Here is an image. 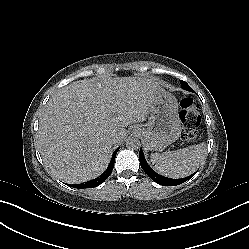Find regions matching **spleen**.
Returning a JSON list of instances; mask_svg holds the SVG:
<instances>
[{"mask_svg":"<svg viewBox=\"0 0 249 249\" xmlns=\"http://www.w3.org/2000/svg\"><path fill=\"white\" fill-rule=\"evenodd\" d=\"M150 158L154 169L158 173L170 178H179L196 170L204 161L206 158V143L162 154L152 153Z\"/></svg>","mask_w":249,"mask_h":249,"instance_id":"1","label":"spleen"}]
</instances>
